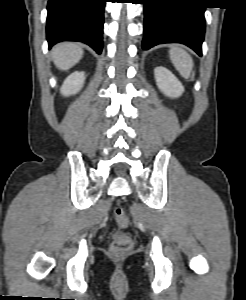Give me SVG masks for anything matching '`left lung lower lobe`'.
Wrapping results in <instances>:
<instances>
[{"instance_id":"0a47b994","label":"left lung lower lobe","mask_w":246,"mask_h":300,"mask_svg":"<svg viewBox=\"0 0 246 300\" xmlns=\"http://www.w3.org/2000/svg\"><path fill=\"white\" fill-rule=\"evenodd\" d=\"M200 0H144L143 49L182 43L202 55L205 5Z\"/></svg>"}]
</instances>
